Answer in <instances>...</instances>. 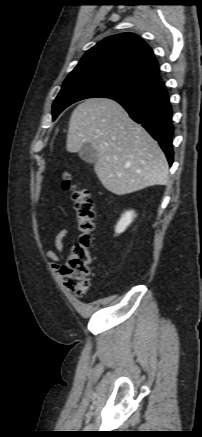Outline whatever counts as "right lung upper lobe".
Returning <instances> with one entry per match:
<instances>
[{
    "mask_svg": "<svg viewBox=\"0 0 202 437\" xmlns=\"http://www.w3.org/2000/svg\"><path fill=\"white\" fill-rule=\"evenodd\" d=\"M85 70L121 73L152 84L159 79L151 48L132 33L109 36L89 49L72 72Z\"/></svg>",
    "mask_w": 202,
    "mask_h": 437,
    "instance_id": "right-lung-upper-lobe-1",
    "label": "right lung upper lobe"
}]
</instances>
